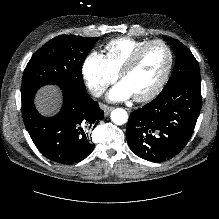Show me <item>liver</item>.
<instances>
[{
    "instance_id": "liver-1",
    "label": "liver",
    "mask_w": 219,
    "mask_h": 219,
    "mask_svg": "<svg viewBox=\"0 0 219 219\" xmlns=\"http://www.w3.org/2000/svg\"><path fill=\"white\" fill-rule=\"evenodd\" d=\"M59 93L54 86H47L40 90L36 97L38 110L44 115L55 113L59 106Z\"/></svg>"
}]
</instances>
